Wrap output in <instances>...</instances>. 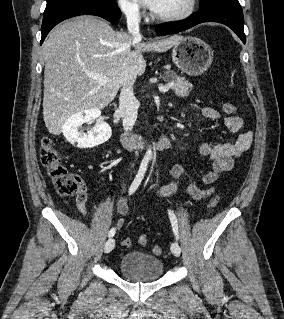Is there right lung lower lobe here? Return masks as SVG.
<instances>
[{"label":"right lung lower lobe","mask_w":284,"mask_h":319,"mask_svg":"<svg viewBox=\"0 0 284 319\" xmlns=\"http://www.w3.org/2000/svg\"><path fill=\"white\" fill-rule=\"evenodd\" d=\"M79 15H95L100 16L110 22L120 19L121 11L117 5L99 6V5H73L59 8L49 14L44 15L42 22L43 43L49 31L61 21Z\"/></svg>","instance_id":"right-lung-lower-lobe-1"}]
</instances>
